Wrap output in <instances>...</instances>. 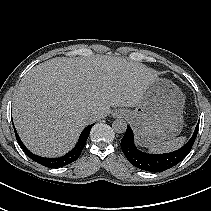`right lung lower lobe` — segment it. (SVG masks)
<instances>
[{"label":"right lung lower lobe","mask_w":211,"mask_h":211,"mask_svg":"<svg viewBox=\"0 0 211 211\" xmlns=\"http://www.w3.org/2000/svg\"><path fill=\"white\" fill-rule=\"evenodd\" d=\"M93 124L87 126L81 133L79 140L77 142V144L75 145V147L69 151L67 154H65L62 157L59 158H45V157H40L37 156L35 154H33L31 151H29L26 146L23 144V142L21 141L19 135L16 132V129L14 127V131H15V135H16V139L19 143V145L21 146V148L23 149V151L25 152V154L31 158L32 160H34L35 162L46 166L48 168H59V167H63L65 165H68L72 162H74L75 160L78 159V157L80 156L83 148L85 147L87 138L90 134V130L92 128Z\"/></svg>","instance_id":"right-lung-lower-lobe-1"}]
</instances>
